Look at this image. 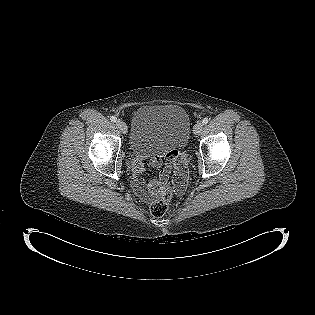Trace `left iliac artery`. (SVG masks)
<instances>
[{
    "label": "left iliac artery",
    "mask_w": 315,
    "mask_h": 315,
    "mask_svg": "<svg viewBox=\"0 0 315 315\" xmlns=\"http://www.w3.org/2000/svg\"><path fill=\"white\" fill-rule=\"evenodd\" d=\"M209 122V119L207 117H205L203 120H202V123L204 125H206L207 123Z\"/></svg>",
    "instance_id": "obj_1"
}]
</instances>
